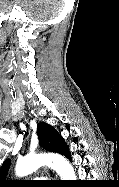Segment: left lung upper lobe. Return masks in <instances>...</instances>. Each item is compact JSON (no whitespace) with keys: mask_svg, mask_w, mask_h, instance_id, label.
<instances>
[{"mask_svg":"<svg viewBox=\"0 0 119 187\" xmlns=\"http://www.w3.org/2000/svg\"><path fill=\"white\" fill-rule=\"evenodd\" d=\"M37 135L40 145L47 151L66 155L69 147L62 136L49 124L39 123L37 127ZM10 167V160L7 159L3 162L0 170V187L12 185L14 181L6 180L8 170Z\"/></svg>","mask_w":119,"mask_h":187,"instance_id":"obj_1","label":"left lung upper lobe"}]
</instances>
